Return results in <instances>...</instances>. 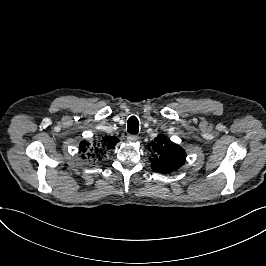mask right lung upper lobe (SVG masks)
Listing matches in <instances>:
<instances>
[{"label": "right lung upper lobe", "instance_id": "right-lung-upper-lobe-1", "mask_svg": "<svg viewBox=\"0 0 266 266\" xmlns=\"http://www.w3.org/2000/svg\"><path fill=\"white\" fill-rule=\"evenodd\" d=\"M118 142H119V139H117L115 136H104L102 140H100L98 143L95 142L89 148V143L86 141H83L80 143L79 153L87 152L88 156H94L96 158H99V160H101V155L106 153L107 150L114 148ZM90 152H92V154ZM82 157L84 158V155Z\"/></svg>", "mask_w": 266, "mask_h": 266}]
</instances>
